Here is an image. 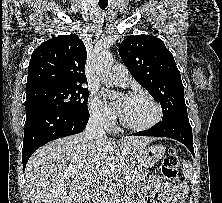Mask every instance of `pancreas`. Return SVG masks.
Returning a JSON list of instances; mask_svg holds the SVG:
<instances>
[{"label":"pancreas","instance_id":"pancreas-1","mask_svg":"<svg viewBox=\"0 0 222 203\" xmlns=\"http://www.w3.org/2000/svg\"><path fill=\"white\" fill-rule=\"evenodd\" d=\"M124 174L126 175V177H129V182L138 183L144 180V178L148 174V171L140 168L139 166H136L135 164H132L125 168ZM114 194H115L114 191H112L111 193L104 194V196L108 201L109 199L113 198Z\"/></svg>","mask_w":222,"mask_h":203}]
</instances>
